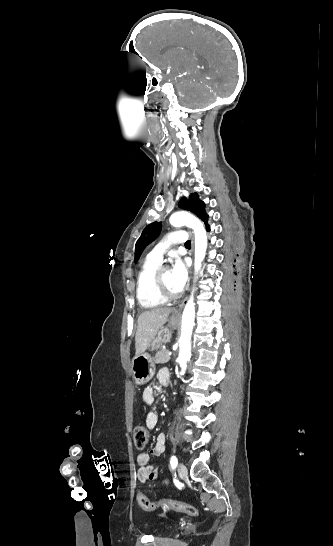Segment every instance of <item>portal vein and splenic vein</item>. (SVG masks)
I'll return each mask as SVG.
<instances>
[{"label": "portal vein and splenic vein", "instance_id": "18ae733b", "mask_svg": "<svg viewBox=\"0 0 333 546\" xmlns=\"http://www.w3.org/2000/svg\"><path fill=\"white\" fill-rule=\"evenodd\" d=\"M168 355H169V356H171V355H172V352H171V351H169V352H168Z\"/></svg>", "mask_w": 333, "mask_h": 546}]
</instances>
